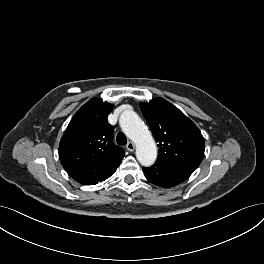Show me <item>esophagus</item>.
Here are the masks:
<instances>
[{
    "label": "esophagus",
    "mask_w": 264,
    "mask_h": 264,
    "mask_svg": "<svg viewBox=\"0 0 264 264\" xmlns=\"http://www.w3.org/2000/svg\"><path fill=\"white\" fill-rule=\"evenodd\" d=\"M126 148H127L128 151L133 152L134 149H135V145H134L133 142L130 141V142H128V144L126 145Z\"/></svg>",
    "instance_id": "1"
}]
</instances>
